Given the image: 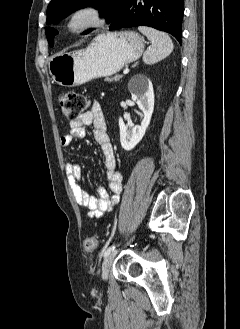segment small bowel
<instances>
[{
    "mask_svg": "<svg viewBox=\"0 0 240 329\" xmlns=\"http://www.w3.org/2000/svg\"><path fill=\"white\" fill-rule=\"evenodd\" d=\"M87 126L92 128L94 139L103 153L107 188L98 187L96 195L89 194L80 184L82 169L77 163L68 162L66 173L76 202L88 209L89 218H100L117 204L122 191V175L116 165L114 150L109 140L104 113L99 102L93 101L89 110L70 122V131L61 137L60 144L63 148H68L73 141L82 139L86 134Z\"/></svg>",
    "mask_w": 240,
    "mask_h": 329,
    "instance_id": "c3829d8e",
    "label": "small bowel"
}]
</instances>
